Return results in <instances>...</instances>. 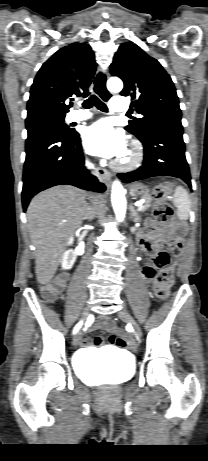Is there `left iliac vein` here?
Masks as SVG:
<instances>
[{"label": "left iliac vein", "mask_w": 208, "mask_h": 461, "mask_svg": "<svg viewBox=\"0 0 208 461\" xmlns=\"http://www.w3.org/2000/svg\"><path fill=\"white\" fill-rule=\"evenodd\" d=\"M118 316L125 322L129 323L133 329L134 332L137 334V336L141 337L142 332L139 324L137 321L130 315V313L126 309H122L119 311Z\"/></svg>", "instance_id": "4c4485c4"}]
</instances>
